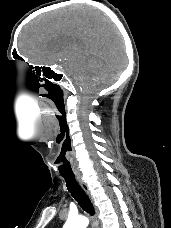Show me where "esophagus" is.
Instances as JSON below:
<instances>
[{
  "instance_id": "34e87169",
  "label": "esophagus",
  "mask_w": 171,
  "mask_h": 228,
  "mask_svg": "<svg viewBox=\"0 0 171 228\" xmlns=\"http://www.w3.org/2000/svg\"><path fill=\"white\" fill-rule=\"evenodd\" d=\"M77 182L79 183V185L81 186V188L85 191V193L87 194V196L90 198V200L93 202V197L89 191L88 185L84 182L83 178L81 176H76ZM95 212H96V217H95V221H96V228H101V222L98 218V210L95 208Z\"/></svg>"
}]
</instances>
